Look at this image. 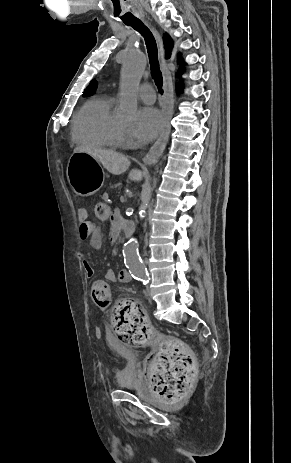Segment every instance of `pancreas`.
<instances>
[{
    "mask_svg": "<svg viewBox=\"0 0 291 463\" xmlns=\"http://www.w3.org/2000/svg\"><path fill=\"white\" fill-rule=\"evenodd\" d=\"M121 183H110L108 187V191L112 194L120 196L121 193Z\"/></svg>",
    "mask_w": 291,
    "mask_h": 463,
    "instance_id": "pancreas-1",
    "label": "pancreas"
}]
</instances>
